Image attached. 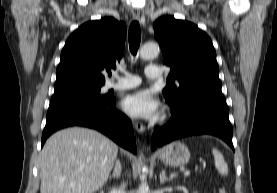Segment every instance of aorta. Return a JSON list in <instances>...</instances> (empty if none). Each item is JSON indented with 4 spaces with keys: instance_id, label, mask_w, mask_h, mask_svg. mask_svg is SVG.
<instances>
[{
    "instance_id": "762f6f07",
    "label": "aorta",
    "mask_w": 277,
    "mask_h": 193,
    "mask_svg": "<svg viewBox=\"0 0 277 193\" xmlns=\"http://www.w3.org/2000/svg\"><path fill=\"white\" fill-rule=\"evenodd\" d=\"M160 52V48L158 44L155 43H148L141 47L140 49V57L142 59H153L158 56ZM147 167L144 166L142 168V175H141V184L138 188L137 193H149V186L147 184V177H146Z\"/></svg>"
}]
</instances>
